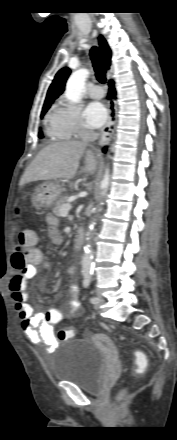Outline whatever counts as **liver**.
Listing matches in <instances>:
<instances>
[{"label":"liver","mask_w":177,"mask_h":440,"mask_svg":"<svg viewBox=\"0 0 177 440\" xmlns=\"http://www.w3.org/2000/svg\"><path fill=\"white\" fill-rule=\"evenodd\" d=\"M85 156V172L94 174L97 161L91 150L86 151V143L63 141L43 148L25 170L20 185L33 181L57 178L72 179L79 167L82 155Z\"/></svg>","instance_id":"1"}]
</instances>
